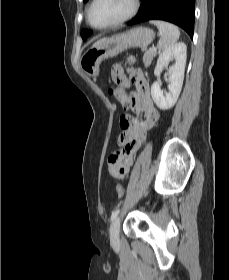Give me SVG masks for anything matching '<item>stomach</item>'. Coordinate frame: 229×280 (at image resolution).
Segmentation results:
<instances>
[{
	"label": "stomach",
	"mask_w": 229,
	"mask_h": 280,
	"mask_svg": "<svg viewBox=\"0 0 229 280\" xmlns=\"http://www.w3.org/2000/svg\"><path fill=\"white\" fill-rule=\"evenodd\" d=\"M155 38V33L147 27H136L125 33L114 35L87 50L80 59V68L90 76L99 75V66L105 59L114 57L129 48L145 50Z\"/></svg>",
	"instance_id": "obj_1"
}]
</instances>
